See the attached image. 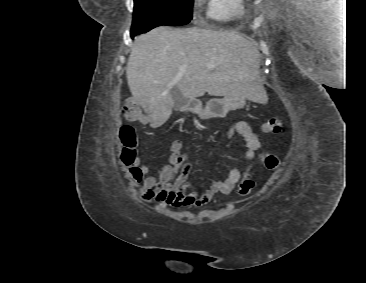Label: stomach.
<instances>
[{
    "label": "stomach",
    "instance_id": "stomach-1",
    "mask_svg": "<svg viewBox=\"0 0 366 283\" xmlns=\"http://www.w3.org/2000/svg\"><path fill=\"white\" fill-rule=\"evenodd\" d=\"M247 98H241L233 95H225L222 99L213 98L205 105L194 100L185 101L182 109H189L199 115L203 120L214 117H225L228 111L246 105Z\"/></svg>",
    "mask_w": 366,
    "mask_h": 283
}]
</instances>
